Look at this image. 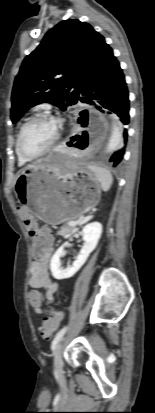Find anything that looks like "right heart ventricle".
Instances as JSON below:
<instances>
[{
  "label": "right heart ventricle",
  "mask_w": 155,
  "mask_h": 413,
  "mask_svg": "<svg viewBox=\"0 0 155 413\" xmlns=\"http://www.w3.org/2000/svg\"><path fill=\"white\" fill-rule=\"evenodd\" d=\"M17 137H18V134H17ZM17 137H16V141H15V152H16V156H17L18 163H19L20 165H23V164H25L26 162H28L29 160L23 158V157L20 155V153H19V151H18V147H17Z\"/></svg>",
  "instance_id": "1"
}]
</instances>
